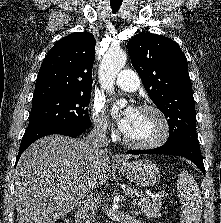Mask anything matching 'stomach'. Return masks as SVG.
I'll use <instances>...</instances> for the list:
<instances>
[{"instance_id":"stomach-1","label":"stomach","mask_w":221,"mask_h":223,"mask_svg":"<svg viewBox=\"0 0 221 223\" xmlns=\"http://www.w3.org/2000/svg\"><path fill=\"white\" fill-rule=\"evenodd\" d=\"M117 168L138 186H153L160 180V170L149 160H136L118 164Z\"/></svg>"}]
</instances>
